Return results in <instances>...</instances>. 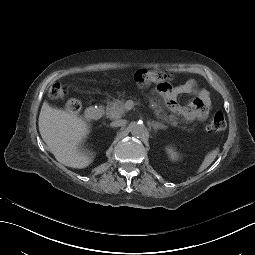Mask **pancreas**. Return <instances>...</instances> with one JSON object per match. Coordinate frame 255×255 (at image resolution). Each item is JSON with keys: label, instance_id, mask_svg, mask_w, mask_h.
I'll return each instance as SVG.
<instances>
[{"label": "pancreas", "instance_id": "pancreas-1", "mask_svg": "<svg viewBox=\"0 0 255 255\" xmlns=\"http://www.w3.org/2000/svg\"><path fill=\"white\" fill-rule=\"evenodd\" d=\"M151 109L155 110V115L159 119L171 124L173 127L177 126V122L174 119L173 115L167 116L166 114L161 113V108L151 105ZM124 102L118 99H113L111 102H108L106 105V115L109 119H119L125 113Z\"/></svg>", "mask_w": 255, "mask_h": 255}]
</instances>
